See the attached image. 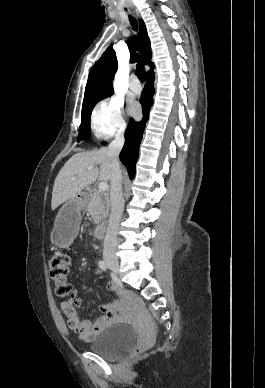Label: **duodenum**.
Returning a JSON list of instances; mask_svg holds the SVG:
<instances>
[{
  "instance_id": "410a0bca",
  "label": "duodenum",
  "mask_w": 265,
  "mask_h": 388,
  "mask_svg": "<svg viewBox=\"0 0 265 388\" xmlns=\"http://www.w3.org/2000/svg\"><path fill=\"white\" fill-rule=\"evenodd\" d=\"M87 198V195L85 193H81L78 195V200L80 202H84ZM106 229H107V223L106 222H102L100 224L97 225L96 229H95V235L97 238H102L105 233H106Z\"/></svg>"
}]
</instances>
